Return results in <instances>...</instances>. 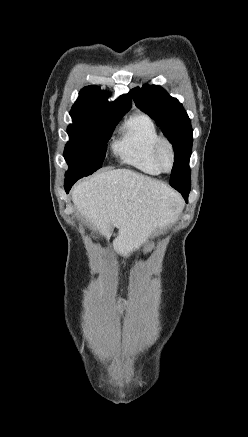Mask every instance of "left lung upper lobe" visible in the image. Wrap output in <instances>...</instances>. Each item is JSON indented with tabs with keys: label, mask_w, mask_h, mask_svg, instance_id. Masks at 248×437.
<instances>
[{
	"label": "left lung upper lobe",
	"mask_w": 248,
	"mask_h": 437,
	"mask_svg": "<svg viewBox=\"0 0 248 437\" xmlns=\"http://www.w3.org/2000/svg\"><path fill=\"white\" fill-rule=\"evenodd\" d=\"M136 106L147 113L161 127L173 145L175 162L170 185L180 193H189L191 187L189 159L193 137L191 121L182 104L163 88L145 84L130 91Z\"/></svg>",
	"instance_id": "5c2ea615"
}]
</instances>
